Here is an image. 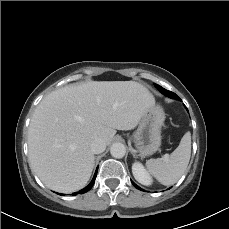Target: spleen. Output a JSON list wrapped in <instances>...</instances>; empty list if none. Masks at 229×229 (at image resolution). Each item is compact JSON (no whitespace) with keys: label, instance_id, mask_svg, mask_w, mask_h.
Returning a JSON list of instances; mask_svg holds the SVG:
<instances>
[{"label":"spleen","instance_id":"1","mask_svg":"<svg viewBox=\"0 0 229 229\" xmlns=\"http://www.w3.org/2000/svg\"><path fill=\"white\" fill-rule=\"evenodd\" d=\"M191 156V134L185 133L179 146L165 158L149 159L148 171L163 185L176 183L184 174Z\"/></svg>","mask_w":229,"mask_h":229}]
</instances>
